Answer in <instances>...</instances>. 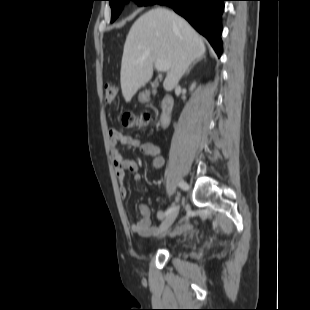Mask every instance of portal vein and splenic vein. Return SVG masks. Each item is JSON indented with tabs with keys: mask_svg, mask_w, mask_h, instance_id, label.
I'll return each instance as SVG.
<instances>
[{
	"mask_svg": "<svg viewBox=\"0 0 310 310\" xmlns=\"http://www.w3.org/2000/svg\"><path fill=\"white\" fill-rule=\"evenodd\" d=\"M170 67V63L166 61H156L155 68L160 72L168 71Z\"/></svg>",
	"mask_w": 310,
	"mask_h": 310,
	"instance_id": "1",
	"label": "portal vein and splenic vein"
}]
</instances>
